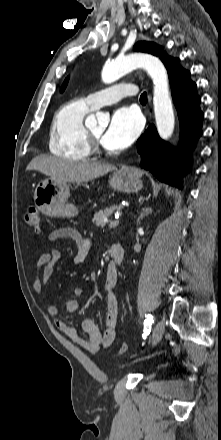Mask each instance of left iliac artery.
<instances>
[{"label":"left iliac artery","instance_id":"1","mask_svg":"<svg viewBox=\"0 0 221 440\" xmlns=\"http://www.w3.org/2000/svg\"><path fill=\"white\" fill-rule=\"evenodd\" d=\"M152 322H153V316L151 314H148L144 321V334H143L144 339H146V336L149 335L151 331Z\"/></svg>","mask_w":221,"mask_h":440}]
</instances>
